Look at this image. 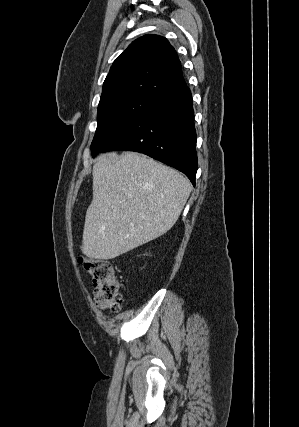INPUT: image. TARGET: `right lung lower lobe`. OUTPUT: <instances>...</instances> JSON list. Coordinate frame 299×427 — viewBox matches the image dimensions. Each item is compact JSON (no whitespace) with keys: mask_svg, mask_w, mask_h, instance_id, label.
Wrapping results in <instances>:
<instances>
[{"mask_svg":"<svg viewBox=\"0 0 299 427\" xmlns=\"http://www.w3.org/2000/svg\"><path fill=\"white\" fill-rule=\"evenodd\" d=\"M112 150L144 153L183 172L195 185L198 164L190 89L184 86L156 99L100 152Z\"/></svg>","mask_w":299,"mask_h":427,"instance_id":"1","label":"right lung lower lobe"}]
</instances>
